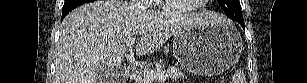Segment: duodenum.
<instances>
[{"label": "duodenum", "instance_id": "410a0bca", "mask_svg": "<svg viewBox=\"0 0 307 83\" xmlns=\"http://www.w3.org/2000/svg\"><path fill=\"white\" fill-rule=\"evenodd\" d=\"M127 73H128V74H133L134 71H133L132 69L128 68V69H127Z\"/></svg>", "mask_w": 307, "mask_h": 83}]
</instances>
